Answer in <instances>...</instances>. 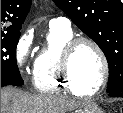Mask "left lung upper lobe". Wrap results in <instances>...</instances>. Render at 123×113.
<instances>
[{
    "label": "left lung upper lobe",
    "instance_id": "5c2ea615",
    "mask_svg": "<svg viewBox=\"0 0 123 113\" xmlns=\"http://www.w3.org/2000/svg\"><path fill=\"white\" fill-rule=\"evenodd\" d=\"M104 52L109 64L107 92L123 97V4L120 0H53Z\"/></svg>",
    "mask_w": 123,
    "mask_h": 113
}]
</instances>
